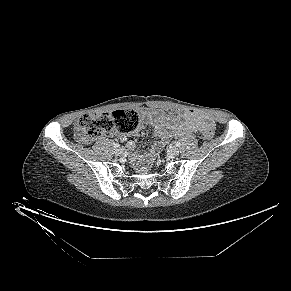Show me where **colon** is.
Here are the masks:
<instances>
[{
  "label": "colon",
  "instance_id": "5ec220e1",
  "mask_svg": "<svg viewBox=\"0 0 291 291\" xmlns=\"http://www.w3.org/2000/svg\"><path fill=\"white\" fill-rule=\"evenodd\" d=\"M139 114L134 110H115L112 112H91L82 115L75 124L76 137L85 144L96 141L111 132L130 133L139 125ZM214 125L202 129L206 139L213 138Z\"/></svg>",
  "mask_w": 291,
  "mask_h": 291
}]
</instances>
